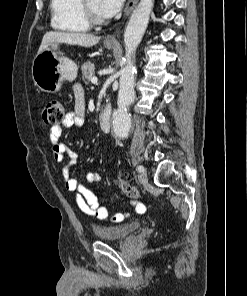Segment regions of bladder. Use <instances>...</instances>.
Segmentation results:
<instances>
[{
    "label": "bladder",
    "instance_id": "obj_1",
    "mask_svg": "<svg viewBox=\"0 0 247 296\" xmlns=\"http://www.w3.org/2000/svg\"><path fill=\"white\" fill-rule=\"evenodd\" d=\"M141 227V222L131 221L113 226H102L94 228L95 236L103 241L122 240L136 232Z\"/></svg>",
    "mask_w": 247,
    "mask_h": 296
}]
</instances>
